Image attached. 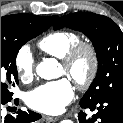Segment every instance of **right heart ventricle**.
Instances as JSON below:
<instances>
[{"instance_id": "right-heart-ventricle-1", "label": "right heart ventricle", "mask_w": 123, "mask_h": 123, "mask_svg": "<svg viewBox=\"0 0 123 123\" xmlns=\"http://www.w3.org/2000/svg\"><path fill=\"white\" fill-rule=\"evenodd\" d=\"M79 42V36L69 31H55L44 36L38 43L39 49L50 56L62 59Z\"/></svg>"}]
</instances>
